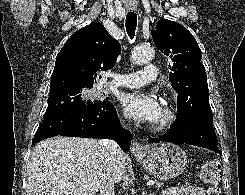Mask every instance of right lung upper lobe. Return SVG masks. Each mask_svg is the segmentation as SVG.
<instances>
[{
	"label": "right lung upper lobe",
	"mask_w": 245,
	"mask_h": 195,
	"mask_svg": "<svg viewBox=\"0 0 245 195\" xmlns=\"http://www.w3.org/2000/svg\"><path fill=\"white\" fill-rule=\"evenodd\" d=\"M121 53L120 43L94 22L76 31L57 55L50 93L93 86L97 71L111 69Z\"/></svg>",
	"instance_id": "1"
}]
</instances>
